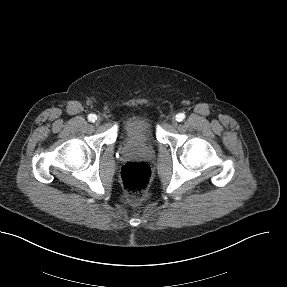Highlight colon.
Masks as SVG:
<instances>
[{
	"mask_svg": "<svg viewBox=\"0 0 287 287\" xmlns=\"http://www.w3.org/2000/svg\"><path fill=\"white\" fill-rule=\"evenodd\" d=\"M120 178L130 201H140L150 184V166L145 162H127L121 168Z\"/></svg>",
	"mask_w": 287,
	"mask_h": 287,
	"instance_id": "1",
	"label": "colon"
}]
</instances>
